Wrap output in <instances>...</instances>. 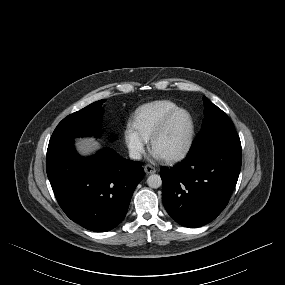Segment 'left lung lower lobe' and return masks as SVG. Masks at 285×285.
<instances>
[{
  "label": "left lung lower lobe",
  "mask_w": 285,
  "mask_h": 285,
  "mask_svg": "<svg viewBox=\"0 0 285 285\" xmlns=\"http://www.w3.org/2000/svg\"><path fill=\"white\" fill-rule=\"evenodd\" d=\"M241 160V145H230L187 156L173 169H162V200L169 215L191 228L214 220L228 204Z\"/></svg>",
  "instance_id": "0a47b994"
}]
</instances>
